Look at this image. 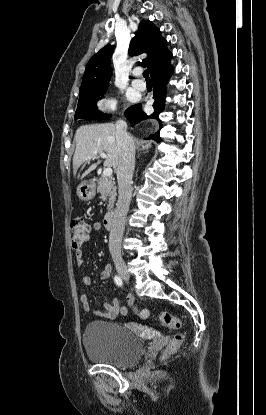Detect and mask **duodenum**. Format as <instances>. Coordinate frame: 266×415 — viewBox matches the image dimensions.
I'll use <instances>...</instances> for the list:
<instances>
[{
  "mask_svg": "<svg viewBox=\"0 0 266 415\" xmlns=\"http://www.w3.org/2000/svg\"><path fill=\"white\" fill-rule=\"evenodd\" d=\"M115 224V215L114 213H108L105 215L104 220H103V225L107 230H111L113 229Z\"/></svg>",
  "mask_w": 266,
  "mask_h": 415,
  "instance_id": "duodenum-1",
  "label": "duodenum"
}]
</instances>
